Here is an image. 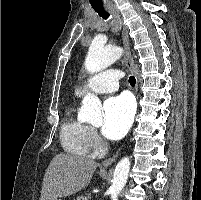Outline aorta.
Instances as JSON below:
<instances>
[{
	"mask_svg": "<svg viewBox=\"0 0 201 200\" xmlns=\"http://www.w3.org/2000/svg\"><path fill=\"white\" fill-rule=\"evenodd\" d=\"M122 49L120 47H106L103 44L93 41L89 47L86 59L85 68L89 73H97L120 58ZM81 118L93 125L102 122L101 102L99 98L93 94H87L83 101L80 110ZM130 170V160L122 158L116 165L112 186L110 187L111 200H117L119 193L125 186Z\"/></svg>",
	"mask_w": 201,
	"mask_h": 200,
	"instance_id": "obj_1",
	"label": "aorta"
}]
</instances>
